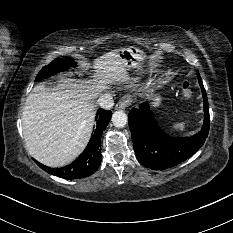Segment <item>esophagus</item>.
Masks as SVG:
<instances>
[{
    "label": "esophagus",
    "instance_id": "obj_1",
    "mask_svg": "<svg viewBox=\"0 0 233 233\" xmlns=\"http://www.w3.org/2000/svg\"><path fill=\"white\" fill-rule=\"evenodd\" d=\"M132 99L129 96L123 97L121 100L118 101V103L116 104L115 109L116 110H124L126 109L128 106L131 105Z\"/></svg>",
    "mask_w": 233,
    "mask_h": 233
}]
</instances>
